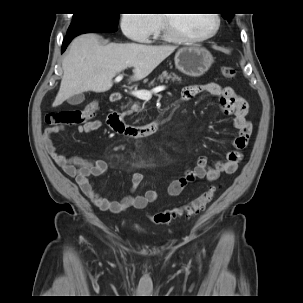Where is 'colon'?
I'll use <instances>...</instances> for the list:
<instances>
[{
	"label": "colon",
	"instance_id": "1",
	"mask_svg": "<svg viewBox=\"0 0 303 303\" xmlns=\"http://www.w3.org/2000/svg\"><path fill=\"white\" fill-rule=\"evenodd\" d=\"M222 75L227 79H233L236 76V70L230 66H223L221 68ZM98 102L91 101L83 109L73 110H57L50 111L45 115V123L49 126L56 125H73L86 123L92 119L98 110ZM216 193L215 187H210L200 196L190 201L188 204L179 209L167 210L160 213L152 214L150 220L155 224H166L172 219L185 216L191 218L199 213L203 212L208 204L213 200Z\"/></svg>",
	"mask_w": 303,
	"mask_h": 303
}]
</instances>
